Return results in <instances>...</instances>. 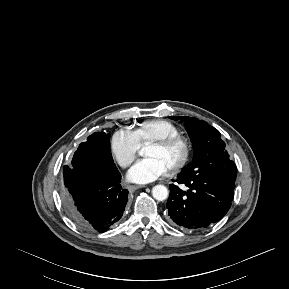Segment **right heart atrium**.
Wrapping results in <instances>:
<instances>
[{
  "label": "right heart atrium",
  "mask_w": 289,
  "mask_h": 289,
  "mask_svg": "<svg viewBox=\"0 0 289 289\" xmlns=\"http://www.w3.org/2000/svg\"><path fill=\"white\" fill-rule=\"evenodd\" d=\"M110 149L119 165L126 168L136 159L140 145L133 131L119 129L111 137Z\"/></svg>",
  "instance_id": "1"
}]
</instances>
